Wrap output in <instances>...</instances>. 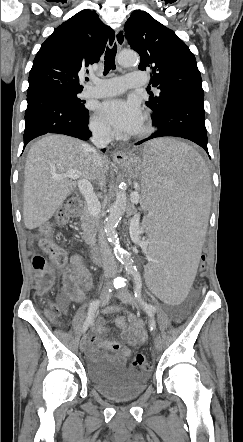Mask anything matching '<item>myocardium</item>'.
Here are the masks:
<instances>
[{"mask_svg":"<svg viewBox=\"0 0 243 442\" xmlns=\"http://www.w3.org/2000/svg\"><path fill=\"white\" fill-rule=\"evenodd\" d=\"M143 120H144V126L139 132L133 134L134 138L138 139L144 138L152 132L153 129L152 120L148 113L144 114Z\"/></svg>","mask_w":243,"mask_h":442,"instance_id":"obj_1","label":"myocardium"}]
</instances>
